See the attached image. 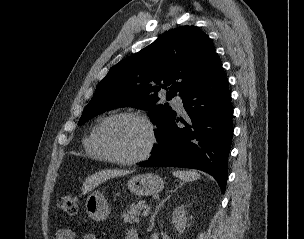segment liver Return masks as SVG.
Returning a JSON list of instances; mask_svg holds the SVG:
<instances>
[{
	"label": "liver",
	"mask_w": 304,
	"mask_h": 239,
	"mask_svg": "<svg viewBox=\"0 0 304 239\" xmlns=\"http://www.w3.org/2000/svg\"><path fill=\"white\" fill-rule=\"evenodd\" d=\"M130 173L131 171L129 170H102L86 178L82 186V192L83 194H87L88 192L92 191L94 188H96L101 183L107 181L110 178L124 176Z\"/></svg>",
	"instance_id": "liver-1"
}]
</instances>
